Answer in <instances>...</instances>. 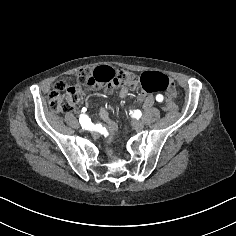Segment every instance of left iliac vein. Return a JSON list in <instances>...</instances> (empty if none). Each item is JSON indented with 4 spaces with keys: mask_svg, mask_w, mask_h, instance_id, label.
I'll list each match as a JSON object with an SVG mask.
<instances>
[{
    "mask_svg": "<svg viewBox=\"0 0 236 236\" xmlns=\"http://www.w3.org/2000/svg\"><path fill=\"white\" fill-rule=\"evenodd\" d=\"M133 128H134V130L139 131V130H141L142 125L139 122H134L133 123Z\"/></svg>",
    "mask_w": 236,
    "mask_h": 236,
    "instance_id": "obj_1",
    "label": "left iliac vein"
}]
</instances>
